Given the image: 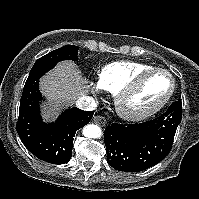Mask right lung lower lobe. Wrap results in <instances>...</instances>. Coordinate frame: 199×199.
<instances>
[{
	"label": "right lung lower lobe",
	"mask_w": 199,
	"mask_h": 199,
	"mask_svg": "<svg viewBox=\"0 0 199 199\" xmlns=\"http://www.w3.org/2000/svg\"><path fill=\"white\" fill-rule=\"evenodd\" d=\"M57 63L32 67L20 99L18 135L26 148L37 158L52 163H67L78 129L88 124L94 111L71 108L64 111L55 123H44L40 116L39 79Z\"/></svg>",
	"instance_id": "obj_1"
}]
</instances>
